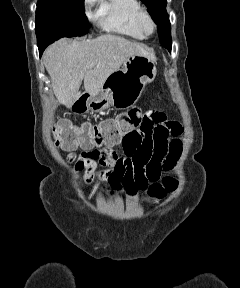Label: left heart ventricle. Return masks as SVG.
<instances>
[{"mask_svg": "<svg viewBox=\"0 0 240 288\" xmlns=\"http://www.w3.org/2000/svg\"><path fill=\"white\" fill-rule=\"evenodd\" d=\"M143 28L146 32H151L152 31V24L148 19H144L143 21Z\"/></svg>", "mask_w": 240, "mask_h": 288, "instance_id": "1", "label": "left heart ventricle"}]
</instances>
